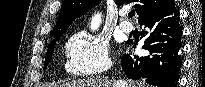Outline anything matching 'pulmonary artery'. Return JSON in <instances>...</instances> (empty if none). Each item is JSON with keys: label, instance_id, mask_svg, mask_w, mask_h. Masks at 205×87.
<instances>
[{"label": "pulmonary artery", "instance_id": "1", "mask_svg": "<svg viewBox=\"0 0 205 87\" xmlns=\"http://www.w3.org/2000/svg\"><path fill=\"white\" fill-rule=\"evenodd\" d=\"M125 15H126L125 12L121 13V16L124 17ZM120 29L125 33H130L133 30V25H132V23H130L128 21H122L120 23Z\"/></svg>", "mask_w": 205, "mask_h": 87}]
</instances>
